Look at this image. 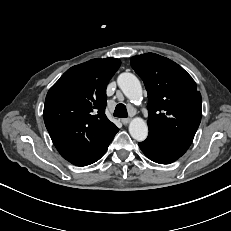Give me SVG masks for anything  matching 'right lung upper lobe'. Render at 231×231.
<instances>
[{"label":"right lung upper lobe","mask_w":231,"mask_h":231,"mask_svg":"<svg viewBox=\"0 0 231 231\" xmlns=\"http://www.w3.org/2000/svg\"><path fill=\"white\" fill-rule=\"evenodd\" d=\"M120 64L119 59L105 58L73 66L47 93L46 128L61 156L74 165L99 160L119 131L105 107L107 84Z\"/></svg>","instance_id":"right-lung-upper-lobe-1"}]
</instances>
